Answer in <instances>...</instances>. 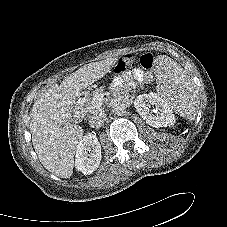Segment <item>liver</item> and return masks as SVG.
<instances>
[{"mask_svg": "<svg viewBox=\"0 0 227 227\" xmlns=\"http://www.w3.org/2000/svg\"><path fill=\"white\" fill-rule=\"evenodd\" d=\"M118 62L109 57L86 64L67 76L60 85L53 84L42 93L31 110L32 143L41 164L52 174L70 178L74 155L83 138V129L69 123L80 92L101 79Z\"/></svg>", "mask_w": 227, "mask_h": 227, "instance_id": "6515ba94", "label": "liver"}]
</instances>
